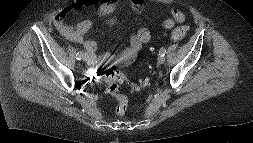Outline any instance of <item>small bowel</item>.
<instances>
[{
    "label": "small bowel",
    "mask_w": 253,
    "mask_h": 143,
    "mask_svg": "<svg viewBox=\"0 0 253 143\" xmlns=\"http://www.w3.org/2000/svg\"><path fill=\"white\" fill-rule=\"evenodd\" d=\"M161 2L163 4H166L164 0H161ZM130 4L135 11L141 12L144 9L145 0H130ZM116 5V0H76L61 9L55 15L53 23L62 37L68 41L83 44L84 47L93 54L97 49V44L92 40L86 39V35L92 27V21L85 19L80 21L75 27H72L65 23V19L69 14L80 11L90 6H96L98 14H107L112 12L116 8ZM184 20V13L180 9L172 8L170 11V16L164 19L162 25L165 29H171L176 24L183 23ZM150 39V30L146 27H142L130 37L129 48L114 58L109 54H105L102 57L106 56L113 59L122 60L128 56L136 55L142 45L149 42ZM92 64H95V62H92Z\"/></svg>",
    "instance_id": "obj_1"
}]
</instances>
